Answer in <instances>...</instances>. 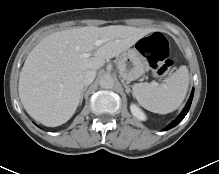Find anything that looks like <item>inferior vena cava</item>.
Here are the masks:
<instances>
[{"label": "inferior vena cava", "instance_id": "602c4592", "mask_svg": "<svg viewBox=\"0 0 219 174\" xmlns=\"http://www.w3.org/2000/svg\"><path fill=\"white\" fill-rule=\"evenodd\" d=\"M96 77V71L88 70L81 75V80L85 86L90 85Z\"/></svg>", "mask_w": 219, "mask_h": 174}]
</instances>
